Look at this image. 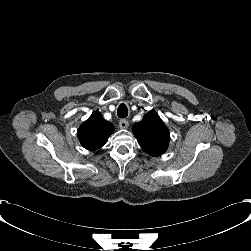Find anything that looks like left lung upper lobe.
I'll use <instances>...</instances> for the list:
<instances>
[{
	"mask_svg": "<svg viewBox=\"0 0 251 251\" xmlns=\"http://www.w3.org/2000/svg\"><path fill=\"white\" fill-rule=\"evenodd\" d=\"M133 134L140 146L151 156H159L166 152L170 134L159 115L155 111L148 112L132 127Z\"/></svg>",
	"mask_w": 251,
	"mask_h": 251,
	"instance_id": "5c2ea615",
	"label": "left lung upper lobe"
}]
</instances>
